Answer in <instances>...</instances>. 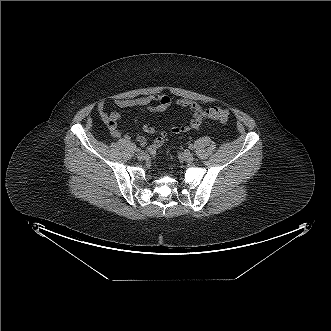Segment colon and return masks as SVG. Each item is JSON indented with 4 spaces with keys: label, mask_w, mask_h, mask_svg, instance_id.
Instances as JSON below:
<instances>
[{
    "label": "colon",
    "mask_w": 331,
    "mask_h": 331,
    "mask_svg": "<svg viewBox=\"0 0 331 331\" xmlns=\"http://www.w3.org/2000/svg\"><path fill=\"white\" fill-rule=\"evenodd\" d=\"M205 116L219 123H226L229 119V112L223 107L212 106L205 111Z\"/></svg>",
    "instance_id": "obj_1"
}]
</instances>
